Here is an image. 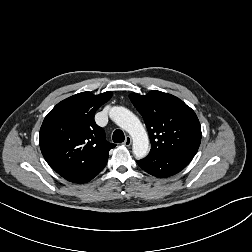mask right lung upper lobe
<instances>
[{"mask_svg":"<svg viewBox=\"0 0 252 252\" xmlns=\"http://www.w3.org/2000/svg\"><path fill=\"white\" fill-rule=\"evenodd\" d=\"M112 92H82L58 103L45 117L39 144L47 163L64 178L105 165L115 144L105 140L104 130L94 121L97 109Z\"/></svg>","mask_w":252,"mask_h":252,"instance_id":"right-lung-upper-lobe-1","label":"right lung upper lobe"}]
</instances>
